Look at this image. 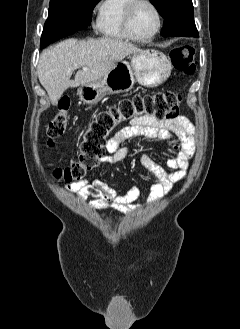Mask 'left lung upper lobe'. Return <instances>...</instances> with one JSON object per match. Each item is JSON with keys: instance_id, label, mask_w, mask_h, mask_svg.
Instances as JSON below:
<instances>
[{"instance_id": "obj_1", "label": "left lung upper lobe", "mask_w": 240, "mask_h": 329, "mask_svg": "<svg viewBox=\"0 0 240 329\" xmlns=\"http://www.w3.org/2000/svg\"><path fill=\"white\" fill-rule=\"evenodd\" d=\"M164 18L161 35L198 37L192 0H151Z\"/></svg>"}]
</instances>
